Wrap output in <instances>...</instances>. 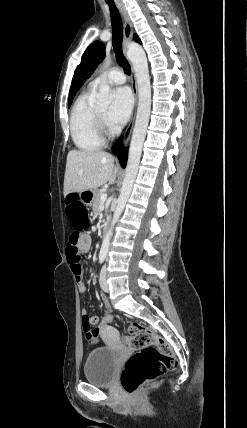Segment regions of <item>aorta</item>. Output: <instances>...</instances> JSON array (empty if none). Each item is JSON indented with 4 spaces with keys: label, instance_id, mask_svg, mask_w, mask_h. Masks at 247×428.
<instances>
[{
    "label": "aorta",
    "instance_id": "762f6f07",
    "mask_svg": "<svg viewBox=\"0 0 247 428\" xmlns=\"http://www.w3.org/2000/svg\"><path fill=\"white\" fill-rule=\"evenodd\" d=\"M127 57L132 63L137 79L138 108L129 148L125 178L123 180L120 195L117 199V205L114 210L111 226L104 236L100 249V256L102 257H106L108 254L113 228L119 220L132 191V187L139 168L142 147L146 137V131L150 118L151 84L145 52L139 45L131 44L128 46ZM104 63L106 68L110 65L111 58L109 55H106ZM110 102V87L106 81H103L97 94V104L99 107L106 108Z\"/></svg>",
    "mask_w": 247,
    "mask_h": 428
}]
</instances>
